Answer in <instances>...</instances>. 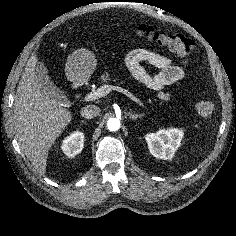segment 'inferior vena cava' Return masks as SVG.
Masks as SVG:
<instances>
[{"instance_id":"obj_1","label":"inferior vena cava","mask_w":236,"mask_h":236,"mask_svg":"<svg viewBox=\"0 0 236 236\" xmlns=\"http://www.w3.org/2000/svg\"><path fill=\"white\" fill-rule=\"evenodd\" d=\"M100 108L95 105H87L81 109V116L86 119H92L99 115Z\"/></svg>"}]
</instances>
